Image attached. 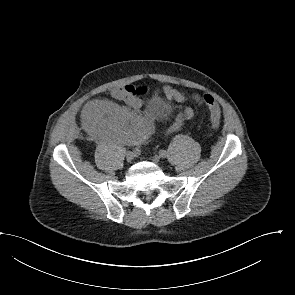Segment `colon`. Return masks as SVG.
Returning a JSON list of instances; mask_svg holds the SVG:
<instances>
[{
	"mask_svg": "<svg viewBox=\"0 0 295 295\" xmlns=\"http://www.w3.org/2000/svg\"><path fill=\"white\" fill-rule=\"evenodd\" d=\"M203 100L209 109L211 122L212 123H219L221 120V110H220L218 103L209 94H205L203 96Z\"/></svg>",
	"mask_w": 295,
	"mask_h": 295,
	"instance_id": "1",
	"label": "colon"
}]
</instances>
